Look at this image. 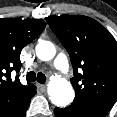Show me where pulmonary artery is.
Wrapping results in <instances>:
<instances>
[{
  "mask_svg": "<svg viewBox=\"0 0 117 117\" xmlns=\"http://www.w3.org/2000/svg\"><path fill=\"white\" fill-rule=\"evenodd\" d=\"M52 66L57 72H59L63 75H68L70 72L68 60L64 54H59L54 59Z\"/></svg>",
  "mask_w": 117,
  "mask_h": 117,
  "instance_id": "e3ab8cb5",
  "label": "pulmonary artery"
}]
</instances>
